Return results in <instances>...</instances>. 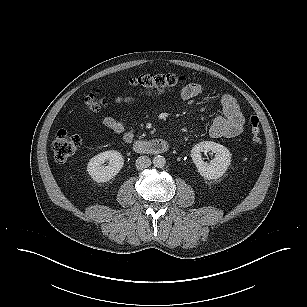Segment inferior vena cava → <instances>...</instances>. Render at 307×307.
Returning <instances> with one entry per match:
<instances>
[{
	"label": "inferior vena cava",
	"mask_w": 307,
	"mask_h": 307,
	"mask_svg": "<svg viewBox=\"0 0 307 307\" xmlns=\"http://www.w3.org/2000/svg\"><path fill=\"white\" fill-rule=\"evenodd\" d=\"M135 164L138 170H143L151 165V160L148 156H140L137 158Z\"/></svg>",
	"instance_id": "inferior-vena-cava-1"
}]
</instances>
